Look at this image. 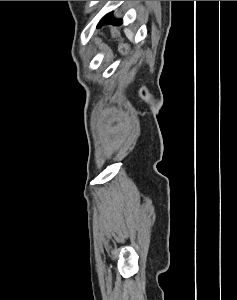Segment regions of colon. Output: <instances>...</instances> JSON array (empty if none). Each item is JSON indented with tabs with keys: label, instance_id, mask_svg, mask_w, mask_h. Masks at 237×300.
Returning a JSON list of instances; mask_svg holds the SVG:
<instances>
[{
	"label": "colon",
	"instance_id": "colon-1",
	"mask_svg": "<svg viewBox=\"0 0 237 300\" xmlns=\"http://www.w3.org/2000/svg\"><path fill=\"white\" fill-rule=\"evenodd\" d=\"M95 43H96V45L99 46V48H100V49L106 54V56H107V51H106V49H105V47H104V44H103L99 39H96V40H95ZM120 51H121L122 54H126V53H127V47H126L124 44H121V46H120Z\"/></svg>",
	"mask_w": 237,
	"mask_h": 300
}]
</instances>
